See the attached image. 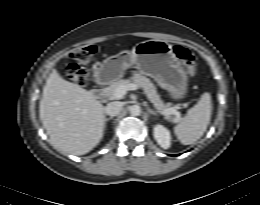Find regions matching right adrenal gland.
<instances>
[{
    "instance_id": "obj_1",
    "label": "right adrenal gland",
    "mask_w": 260,
    "mask_h": 205,
    "mask_svg": "<svg viewBox=\"0 0 260 205\" xmlns=\"http://www.w3.org/2000/svg\"><path fill=\"white\" fill-rule=\"evenodd\" d=\"M112 119H113V117L105 118V124L107 121L112 120Z\"/></svg>"
}]
</instances>
